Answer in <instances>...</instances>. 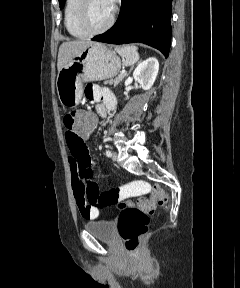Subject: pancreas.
<instances>
[{
  "instance_id": "pancreas-1",
  "label": "pancreas",
  "mask_w": 240,
  "mask_h": 288,
  "mask_svg": "<svg viewBox=\"0 0 240 288\" xmlns=\"http://www.w3.org/2000/svg\"><path fill=\"white\" fill-rule=\"evenodd\" d=\"M125 76L126 74H120L115 79L108 80L105 83L110 85L114 84V86H116L123 80Z\"/></svg>"
}]
</instances>
